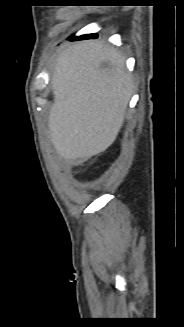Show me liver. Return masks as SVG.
<instances>
[{
    "instance_id": "1",
    "label": "liver",
    "mask_w": 184,
    "mask_h": 327,
    "mask_svg": "<svg viewBox=\"0 0 184 327\" xmlns=\"http://www.w3.org/2000/svg\"><path fill=\"white\" fill-rule=\"evenodd\" d=\"M51 84L48 129L57 153L84 161L104 152L123 125L133 93L125 58L99 41L70 45L56 59Z\"/></svg>"
}]
</instances>
